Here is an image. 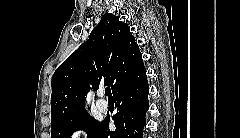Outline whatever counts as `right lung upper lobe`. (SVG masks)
Returning <instances> with one entry per match:
<instances>
[{"label": "right lung upper lobe", "mask_w": 240, "mask_h": 138, "mask_svg": "<svg viewBox=\"0 0 240 138\" xmlns=\"http://www.w3.org/2000/svg\"><path fill=\"white\" fill-rule=\"evenodd\" d=\"M146 73L142 54L128 25L106 13L89 40L73 52L52 77L51 125L85 111V96L100 83L113 95Z\"/></svg>", "instance_id": "right-lung-upper-lobe-1"}]
</instances>
